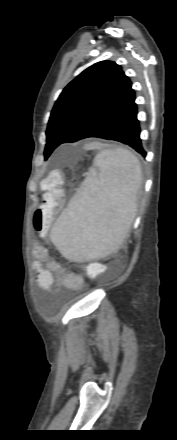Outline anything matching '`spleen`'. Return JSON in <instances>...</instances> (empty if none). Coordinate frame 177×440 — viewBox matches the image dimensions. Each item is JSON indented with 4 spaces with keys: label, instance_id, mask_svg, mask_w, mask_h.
I'll return each mask as SVG.
<instances>
[{
    "label": "spleen",
    "instance_id": "spleen-1",
    "mask_svg": "<svg viewBox=\"0 0 177 440\" xmlns=\"http://www.w3.org/2000/svg\"><path fill=\"white\" fill-rule=\"evenodd\" d=\"M94 165L50 233L71 261H90L117 250L136 215L142 171L135 155L116 147L98 153Z\"/></svg>",
    "mask_w": 177,
    "mask_h": 440
}]
</instances>
